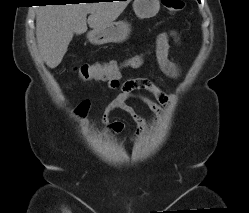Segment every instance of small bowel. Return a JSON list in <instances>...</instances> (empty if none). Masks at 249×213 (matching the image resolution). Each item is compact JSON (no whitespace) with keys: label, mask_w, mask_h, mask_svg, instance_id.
Wrapping results in <instances>:
<instances>
[{"label":"small bowel","mask_w":249,"mask_h":213,"mask_svg":"<svg viewBox=\"0 0 249 213\" xmlns=\"http://www.w3.org/2000/svg\"><path fill=\"white\" fill-rule=\"evenodd\" d=\"M178 42L176 32L162 33L157 38L156 42V58L160 69L172 78H178L181 75L180 68L171 62L168 58L170 41ZM142 63L141 56H134L126 59L123 64L125 67H138ZM109 89H120L118 95L107 105L102 115V123L106 125V130L109 133L121 132L125 124L121 120L110 121L109 117L115 110H121L128 114L136 123V138L139 137L145 129V120L137 112V110L128 103L131 98H137L142 101L149 110L155 115L156 121L163 115L162 107L168 106L172 95L165 93L154 82L143 78H128L124 79L121 73L116 77L108 79ZM90 109V102H81L75 113L79 118H85Z\"/></svg>","instance_id":"obj_1"}]
</instances>
